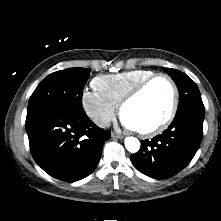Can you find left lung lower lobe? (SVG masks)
Here are the masks:
<instances>
[{"instance_id": "1", "label": "left lung lower lobe", "mask_w": 221, "mask_h": 221, "mask_svg": "<svg viewBox=\"0 0 221 221\" xmlns=\"http://www.w3.org/2000/svg\"><path fill=\"white\" fill-rule=\"evenodd\" d=\"M204 116V106L177 111L168 129L151 140L142 141L140 150L131 155L135 167L154 179H166L181 171L200 146Z\"/></svg>"}]
</instances>
